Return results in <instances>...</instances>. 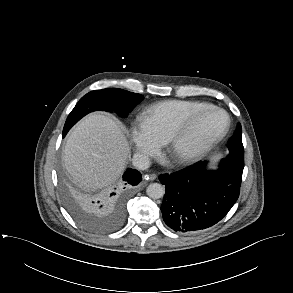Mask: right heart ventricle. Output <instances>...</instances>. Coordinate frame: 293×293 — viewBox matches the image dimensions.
Segmentation results:
<instances>
[{"label":"right heart ventricle","instance_id":"right-heart-ventricle-1","mask_svg":"<svg viewBox=\"0 0 293 293\" xmlns=\"http://www.w3.org/2000/svg\"><path fill=\"white\" fill-rule=\"evenodd\" d=\"M208 105L195 100H166L145 109L142 118L155 134L167 140L190 114Z\"/></svg>","mask_w":293,"mask_h":293}]
</instances>
